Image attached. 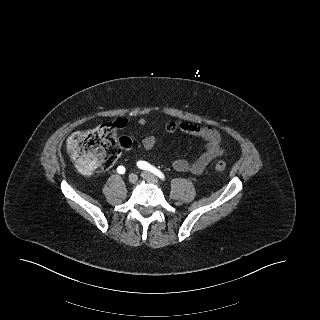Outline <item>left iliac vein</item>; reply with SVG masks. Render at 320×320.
<instances>
[{
  "label": "left iliac vein",
  "instance_id": "1",
  "mask_svg": "<svg viewBox=\"0 0 320 320\" xmlns=\"http://www.w3.org/2000/svg\"><path fill=\"white\" fill-rule=\"evenodd\" d=\"M141 176H142L143 179H145V180H147L149 182H152V183H154L156 185L159 184L158 178L156 176H154L153 174L149 173V172L144 171V172L141 173Z\"/></svg>",
  "mask_w": 320,
  "mask_h": 320
}]
</instances>
